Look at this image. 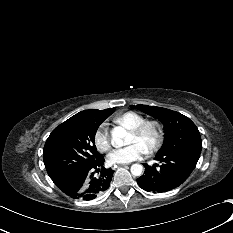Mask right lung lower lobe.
I'll return each instance as SVG.
<instances>
[{"instance_id": "right-lung-lower-lobe-1", "label": "right lung lower lobe", "mask_w": 233, "mask_h": 233, "mask_svg": "<svg viewBox=\"0 0 233 233\" xmlns=\"http://www.w3.org/2000/svg\"><path fill=\"white\" fill-rule=\"evenodd\" d=\"M104 158L77 171L75 175L57 184L74 199L92 200L109 188L113 170L103 167Z\"/></svg>"}]
</instances>
